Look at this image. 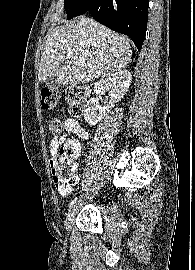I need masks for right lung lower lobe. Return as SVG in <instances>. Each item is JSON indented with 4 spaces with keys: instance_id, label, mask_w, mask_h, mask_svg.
Returning a JSON list of instances; mask_svg holds the SVG:
<instances>
[{
    "instance_id": "right-lung-lower-lobe-1",
    "label": "right lung lower lobe",
    "mask_w": 195,
    "mask_h": 270,
    "mask_svg": "<svg viewBox=\"0 0 195 270\" xmlns=\"http://www.w3.org/2000/svg\"><path fill=\"white\" fill-rule=\"evenodd\" d=\"M95 20L128 35L140 51L147 29L149 0H83Z\"/></svg>"
}]
</instances>
